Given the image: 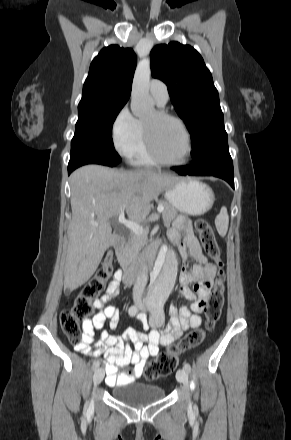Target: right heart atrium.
<instances>
[{
  "instance_id": "obj_1",
  "label": "right heart atrium",
  "mask_w": 291,
  "mask_h": 440,
  "mask_svg": "<svg viewBox=\"0 0 291 440\" xmlns=\"http://www.w3.org/2000/svg\"><path fill=\"white\" fill-rule=\"evenodd\" d=\"M139 122L127 106L117 114L112 124L111 136L116 151L128 156L135 147L139 137Z\"/></svg>"
}]
</instances>
